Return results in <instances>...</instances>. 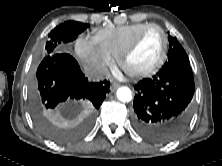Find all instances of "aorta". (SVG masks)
<instances>
[{
	"label": "aorta",
	"mask_w": 222,
	"mask_h": 166,
	"mask_svg": "<svg viewBox=\"0 0 222 166\" xmlns=\"http://www.w3.org/2000/svg\"><path fill=\"white\" fill-rule=\"evenodd\" d=\"M116 96L122 102H129L132 99L131 90L126 86L120 87L117 90Z\"/></svg>",
	"instance_id": "aorta-1"
}]
</instances>
